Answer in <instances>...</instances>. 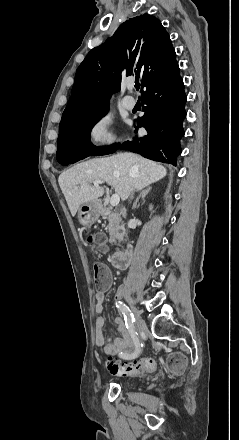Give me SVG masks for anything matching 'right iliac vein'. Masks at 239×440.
<instances>
[{
    "label": "right iliac vein",
    "instance_id": "1",
    "mask_svg": "<svg viewBox=\"0 0 239 440\" xmlns=\"http://www.w3.org/2000/svg\"><path fill=\"white\" fill-rule=\"evenodd\" d=\"M136 330L138 332L144 331L146 328L145 322L139 317L136 316Z\"/></svg>",
    "mask_w": 239,
    "mask_h": 440
}]
</instances>
